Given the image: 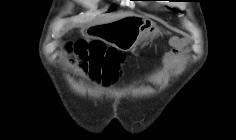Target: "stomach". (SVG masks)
<instances>
[{
    "instance_id": "0dacf381",
    "label": "stomach",
    "mask_w": 236,
    "mask_h": 140,
    "mask_svg": "<svg viewBox=\"0 0 236 140\" xmlns=\"http://www.w3.org/2000/svg\"><path fill=\"white\" fill-rule=\"evenodd\" d=\"M90 41H104V44H114L122 50H130L142 41L158 34L156 24L146 18L128 15L116 22H100V25H91Z\"/></svg>"
}]
</instances>
